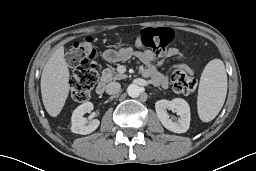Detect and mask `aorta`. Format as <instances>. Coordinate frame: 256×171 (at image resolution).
Masks as SVG:
<instances>
[{
  "label": "aorta",
  "mask_w": 256,
  "mask_h": 171,
  "mask_svg": "<svg viewBox=\"0 0 256 171\" xmlns=\"http://www.w3.org/2000/svg\"><path fill=\"white\" fill-rule=\"evenodd\" d=\"M127 93L132 98H137L141 93V88L136 84H131L127 88Z\"/></svg>",
  "instance_id": "obj_1"
}]
</instances>
